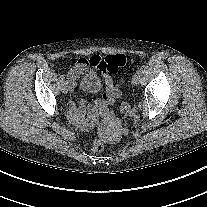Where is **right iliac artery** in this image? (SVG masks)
Returning a JSON list of instances; mask_svg holds the SVG:
<instances>
[{
  "label": "right iliac artery",
  "instance_id": "82829eb1",
  "mask_svg": "<svg viewBox=\"0 0 207 207\" xmlns=\"http://www.w3.org/2000/svg\"><path fill=\"white\" fill-rule=\"evenodd\" d=\"M60 79H61V81H62V82L64 81L65 77H64V75H63V74H62V75H60Z\"/></svg>",
  "mask_w": 207,
  "mask_h": 207
}]
</instances>
